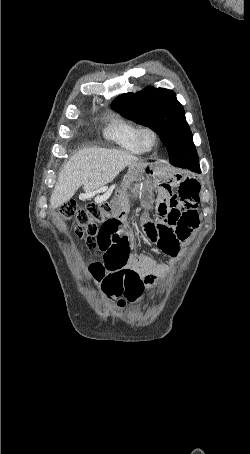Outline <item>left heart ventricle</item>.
<instances>
[{
	"instance_id": "1",
	"label": "left heart ventricle",
	"mask_w": 250,
	"mask_h": 454,
	"mask_svg": "<svg viewBox=\"0 0 250 454\" xmlns=\"http://www.w3.org/2000/svg\"><path fill=\"white\" fill-rule=\"evenodd\" d=\"M146 142H147L148 144L151 143V137H150V136H146Z\"/></svg>"
}]
</instances>
